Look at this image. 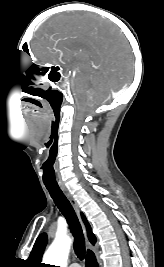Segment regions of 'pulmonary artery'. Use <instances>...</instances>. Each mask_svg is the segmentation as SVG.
Listing matches in <instances>:
<instances>
[{
  "label": "pulmonary artery",
  "instance_id": "obj_1",
  "mask_svg": "<svg viewBox=\"0 0 164 267\" xmlns=\"http://www.w3.org/2000/svg\"><path fill=\"white\" fill-rule=\"evenodd\" d=\"M70 267H80V265L78 263H73L70 265Z\"/></svg>",
  "mask_w": 164,
  "mask_h": 267
}]
</instances>
